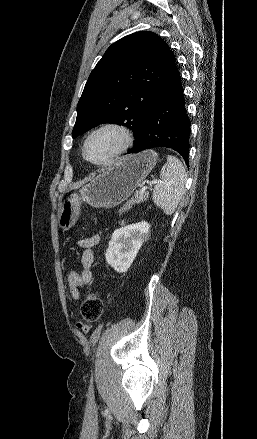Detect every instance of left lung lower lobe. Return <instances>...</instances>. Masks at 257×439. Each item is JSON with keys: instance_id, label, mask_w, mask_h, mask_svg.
Instances as JSON below:
<instances>
[{"instance_id": "1", "label": "left lung lower lobe", "mask_w": 257, "mask_h": 439, "mask_svg": "<svg viewBox=\"0 0 257 439\" xmlns=\"http://www.w3.org/2000/svg\"><path fill=\"white\" fill-rule=\"evenodd\" d=\"M184 104L181 77L176 67L141 121L139 142L127 154L155 147L170 148L177 151L188 166L191 127Z\"/></svg>"}]
</instances>
